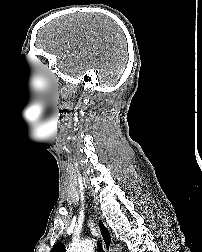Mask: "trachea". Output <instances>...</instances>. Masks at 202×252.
I'll list each match as a JSON object with an SVG mask.
<instances>
[{
  "label": "trachea",
  "instance_id": "obj_1",
  "mask_svg": "<svg viewBox=\"0 0 202 252\" xmlns=\"http://www.w3.org/2000/svg\"><path fill=\"white\" fill-rule=\"evenodd\" d=\"M98 250L100 251V252H104V250H103V248H102V244H100V243H98Z\"/></svg>",
  "mask_w": 202,
  "mask_h": 252
}]
</instances>
